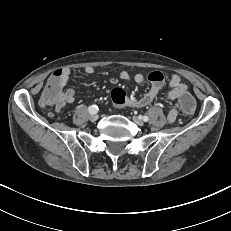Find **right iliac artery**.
Instances as JSON below:
<instances>
[{
    "instance_id": "82829eb1",
    "label": "right iliac artery",
    "mask_w": 231,
    "mask_h": 231,
    "mask_svg": "<svg viewBox=\"0 0 231 231\" xmlns=\"http://www.w3.org/2000/svg\"><path fill=\"white\" fill-rule=\"evenodd\" d=\"M90 114H96L98 112V106L92 105L88 108Z\"/></svg>"
}]
</instances>
